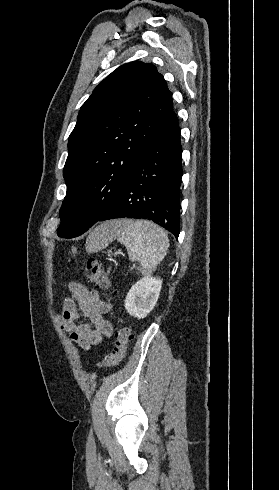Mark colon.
<instances>
[{"label": "colon", "mask_w": 279, "mask_h": 490, "mask_svg": "<svg viewBox=\"0 0 279 490\" xmlns=\"http://www.w3.org/2000/svg\"><path fill=\"white\" fill-rule=\"evenodd\" d=\"M69 254L77 263L80 271L89 280L92 287L96 290L109 291L111 289V280L109 272L104 269L93 257L80 254L74 246H69ZM133 335L128 326L119 327L114 334V348L110 354H107L101 362L100 367L117 366L126 356L132 343Z\"/></svg>", "instance_id": "5ec220e1"}]
</instances>
